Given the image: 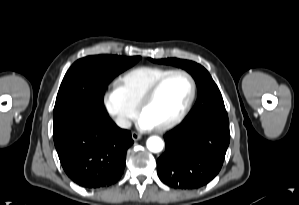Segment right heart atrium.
Instances as JSON below:
<instances>
[{"label": "right heart atrium", "instance_id": "d8ad5b80", "mask_svg": "<svg viewBox=\"0 0 299 205\" xmlns=\"http://www.w3.org/2000/svg\"><path fill=\"white\" fill-rule=\"evenodd\" d=\"M105 111L120 128H128L137 115V108L132 106L117 86L107 89L102 98Z\"/></svg>", "mask_w": 299, "mask_h": 205}]
</instances>
